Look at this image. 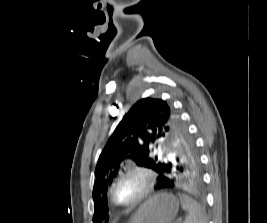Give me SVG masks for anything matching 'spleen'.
<instances>
[{
    "label": "spleen",
    "mask_w": 267,
    "mask_h": 223,
    "mask_svg": "<svg viewBox=\"0 0 267 223\" xmlns=\"http://www.w3.org/2000/svg\"><path fill=\"white\" fill-rule=\"evenodd\" d=\"M179 198L182 208L188 211L184 223H207L204 210L195 200L185 194H179Z\"/></svg>",
    "instance_id": "obj_1"
}]
</instances>
